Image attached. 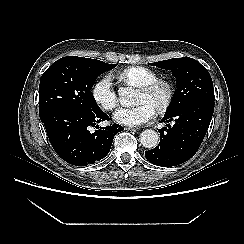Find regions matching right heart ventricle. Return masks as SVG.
<instances>
[{
  "instance_id": "e07e8e85",
  "label": "right heart ventricle",
  "mask_w": 244,
  "mask_h": 244,
  "mask_svg": "<svg viewBox=\"0 0 244 244\" xmlns=\"http://www.w3.org/2000/svg\"><path fill=\"white\" fill-rule=\"evenodd\" d=\"M117 78L124 84L140 88L158 79V74L146 67L132 66L120 71Z\"/></svg>"
}]
</instances>
